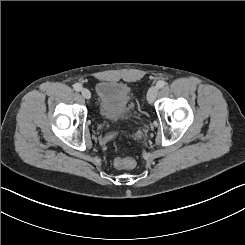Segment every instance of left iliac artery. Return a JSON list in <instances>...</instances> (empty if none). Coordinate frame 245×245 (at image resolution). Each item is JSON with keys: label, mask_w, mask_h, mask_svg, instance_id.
Masks as SVG:
<instances>
[{"label": "left iliac artery", "mask_w": 245, "mask_h": 245, "mask_svg": "<svg viewBox=\"0 0 245 245\" xmlns=\"http://www.w3.org/2000/svg\"><path fill=\"white\" fill-rule=\"evenodd\" d=\"M166 85V82L163 80H160L157 82V87L158 88H163Z\"/></svg>", "instance_id": "1"}]
</instances>
